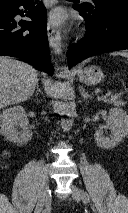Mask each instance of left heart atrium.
I'll use <instances>...</instances> for the list:
<instances>
[{
	"mask_svg": "<svg viewBox=\"0 0 128 213\" xmlns=\"http://www.w3.org/2000/svg\"><path fill=\"white\" fill-rule=\"evenodd\" d=\"M65 20V15L62 10H55L50 14L49 22L53 26H59L61 25Z\"/></svg>",
	"mask_w": 128,
	"mask_h": 213,
	"instance_id": "1",
	"label": "left heart atrium"
}]
</instances>
